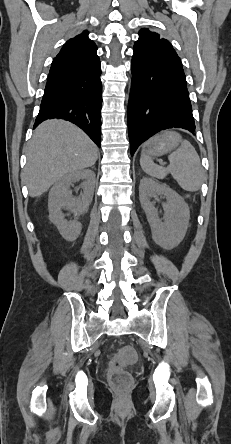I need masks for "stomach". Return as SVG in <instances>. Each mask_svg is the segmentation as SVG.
<instances>
[{
	"mask_svg": "<svg viewBox=\"0 0 231 444\" xmlns=\"http://www.w3.org/2000/svg\"><path fill=\"white\" fill-rule=\"evenodd\" d=\"M180 142L181 138L178 134L167 132L154 138V141L145 149V153L148 156H158L173 150Z\"/></svg>",
	"mask_w": 231,
	"mask_h": 444,
	"instance_id": "1",
	"label": "stomach"
}]
</instances>
